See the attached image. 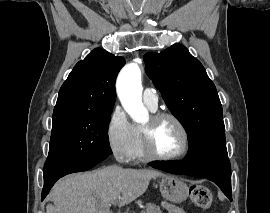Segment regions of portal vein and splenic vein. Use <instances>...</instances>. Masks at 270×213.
Returning a JSON list of instances; mask_svg holds the SVG:
<instances>
[{"mask_svg": "<svg viewBox=\"0 0 270 213\" xmlns=\"http://www.w3.org/2000/svg\"><path fill=\"white\" fill-rule=\"evenodd\" d=\"M117 202H118V200L116 199V200H113V201L111 202V204H112V205H116Z\"/></svg>", "mask_w": 270, "mask_h": 213, "instance_id": "18ae733b", "label": "portal vein and splenic vein"}]
</instances>
